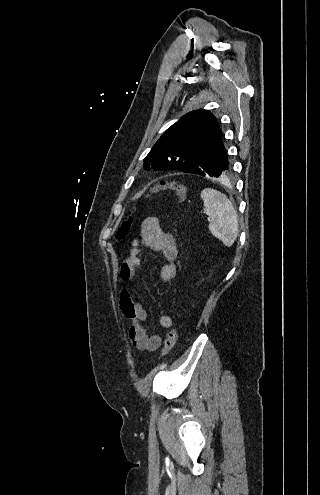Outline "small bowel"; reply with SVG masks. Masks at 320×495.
<instances>
[{"mask_svg": "<svg viewBox=\"0 0 320 495\" xmlns=\"http://www.w3.org/2000/svg\"><path fill=\"white\" fill-rule=\"evenodd\" d=\"M143 247H148L154 252L161 253L166 263L160 270L163 281H170L176 274L175 260L178 255V247L175 238L164 231L159 219L149 217L141 225L140 234L130 244L129 257L121 266L120 275L123 279H129L134 271L142 265L141 253ZM121 310L130 322L129 338L133 346L140 351L154 352L161 345L162 338L159 334H149L146 323L148 314L143 306L136 302L128 292H122L120 296ZM159 323L163 328H170L173 319L169 315H162Z\"/></svg>", "mask_w": 320, "mask_h": 495, "instance_id": "small-bowel-1", "label": "small bowel"}]
</instances>
